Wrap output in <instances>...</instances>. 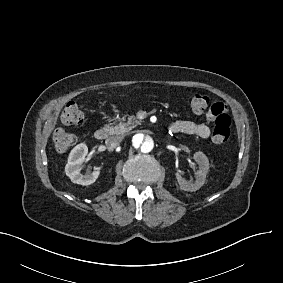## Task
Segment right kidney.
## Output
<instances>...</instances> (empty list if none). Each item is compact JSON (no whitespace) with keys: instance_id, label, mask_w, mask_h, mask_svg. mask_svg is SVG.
<instances>
[{"instance_id":"obj_1","label":"right kidney","mask_w":283,"mask_h":283,"mask_svg":"<svg viewBox=\"0 0 283 283\" xmlns=\"http://www.w3.org/2000/svg\"><path fill=\"white\" fill-rule=\"evenodd\" d=\"M88 153L85 143L76 145L68 156V163L65 166V173L73 183L80 185H90L96 181L100 172L98 170L85 175L81 174L82 164Z\"/></svg>"}]
</instances>
